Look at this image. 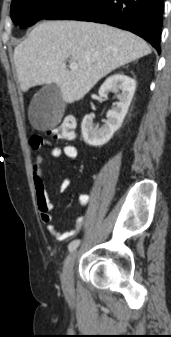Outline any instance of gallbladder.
Listing matches in <instances>:
<instances>
[{"label":"gallbladder","instance_id":"gallbladder-1","mask_svg":"<svg viewBox=\"0 0 171 337\" xmlns=\"http://www.w3.org/2000/svg\"><path fill=\"white\" fill-rule=\"evenodd\" d=\"M65 103L60 88L49 84L33 97L29 107V119L33 127L46 130L56 126L64 113Z\"/></svg>","mask_w":171,"mask_h":337}]
</instances>
